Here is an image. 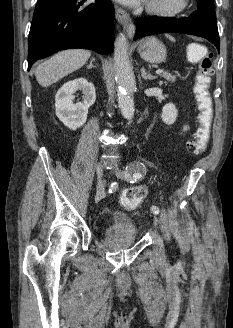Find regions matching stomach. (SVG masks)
I'll return each mask as SVG.
<instances>
[{"label": "stomach", "mask_w": 233, "mask_h": 328, "mask_svg": "<svg viewBox=\"0 0 233 328\" xmlns=\"http://www.w3.org/2000/svg\"><path fill=\"white\" fill-rule=\"evenodd\" d=\"M141 57L150 63H161L166 59V48L161 41L155 37H148L138 47Z\"/></svg>", "instance_id": "0dacf381"}]
</instances>
